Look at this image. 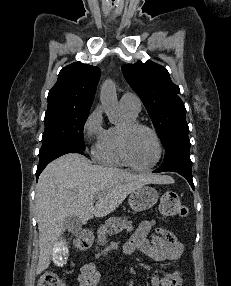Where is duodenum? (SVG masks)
I'll list each match as a JSON object with an SVG mask.
<instances>
[{
  "label": "duodenum",
  "instance_id": "410a0bca",
  "mask_svg": "<svg viewBox=\"0 0 231 286\" xmlns=\"http://www.w3.org/2000/svg\"><path fill=\"white\" fill-rule=\"evenodd\" d=\"M94 236L91 232L82 234L76 241V247L81 250H87L93 243Z\"/></svg>",
  "mask_w": 231,
  "mask_h": 286
}]
</instances>
